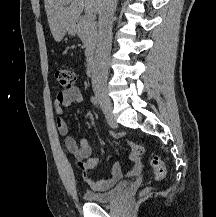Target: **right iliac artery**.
I'll return each mask as SVG.
<instances>
[{"mask_svg":"<svg viewBox=\"0 0 216 217\" xmlns=\"http://www.w3.org/2000/svg\"><path fill=\"white\" fill-rule=\"evenodd\" d=\"M91 102H92L95 106H99V100L97 99V97L92 96V97H91Z\"/></svg>","mask_w":216,"mask_h":217,"instance_id":"1","label":"right iliac artery"}]
</instances>
